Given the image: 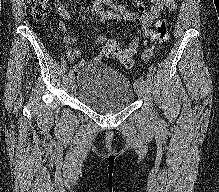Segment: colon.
<instances>
[{
    "instance_id": "colon-1",
    "label": "colon",
    "mask_w": 219,
    "mask_h": 192,
    "mask_svg": "<svg viewBox=\"0 0 219 192\" xmlns=\"http://www.w3.org/2000/svg\"><path fill=\"white\" fill-rule=\"evenodd\" d=\"M30 7L32 15L39 21L46 19L51 10L50 0H31ZM170 27L171 23L166 19L156 24L149 39L142 45V47H145L146 53L155 50L168 38ZM138 48V44H131L127 48H121L117 40L109 39L103 45L101 55L105 58L117 59L124 66L131 67L133 65V56Z\"/></svg>"
}]
</instances>
